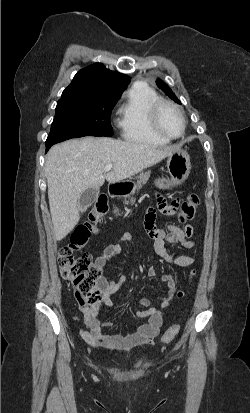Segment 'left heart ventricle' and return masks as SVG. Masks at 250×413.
I'll return each instance as SVG.
<instances>
[{"label":"left heart ventricle","instance_id":"obj_1","mask_svg":"<svg viewBox=\"0 0 250 413\" xmlns=\"http://www.w3.org/2000/svg\"><path fill=\"white\" fill-rule=\"evenodd\" d=\"M159 124L161 129L172 136H177L182 131V121L175 110L170 107H163L159 114Z\"/></svg>","mask_w":250,"mask_h":413}]
</instances>
